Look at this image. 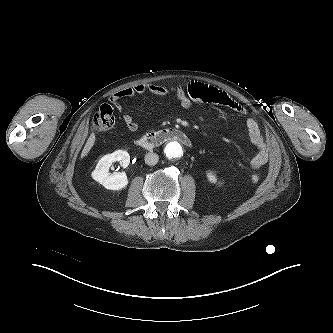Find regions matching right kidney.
<instances>
[{
  "label": "right kidney",
  "instance_id": "obj_1",
  "mask_svg": "<svg viewBox=\"0 0 333 333\" xmlns=\"http://www.w3.org/2000/svg\"><path fill=\"white\" fill-rule=\"evenodd\" d=\"M116 161H119L126 168L130 163V155L124 150H117L111 154H107L99 160L95 170L91 174L95 181L109 190H120L128 185V179L124 172H109V167Z\"/></svg>",
  "mask_w": 333,
  "mask_h": 333
}]
</instances>
